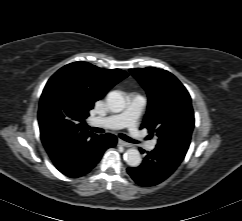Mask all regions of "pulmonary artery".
<instances>
[{
    "label": "pulmonary artery",
    "mask_w": 242,
    "mask_h": 221,
    "mask_svg": "<svg viewBox=\"0 0 242 221\" xmlns=\"http://www.w3.org/2000/svg\"><path fill=\"white\" fill-rule=\"evenodd\" d=\"M146 104V97L142 95L132 96L122 112L108 117L94 119V122L111 129L126 127L128 128L131 138L134 140H141L142 135L138 129V121ZM154 147V141L147 144V148L150 150L154 149Z\"/></svg>",
    "instance_id": "pulmonary-artery-1"
}]
</instances>
